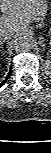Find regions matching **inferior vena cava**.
I'll return each mask as SVG.
<instances>
[{"label":"inferior vena cava","instance_id":"602c4592","mask_svg":"<svg viewBox=\"0 0 51 153\" xmlns=\"http://www.w3.org/2000/svg\"><path fill=\"white\" fill-rule=\"evenodd\" d=\"M13 32H6L4 30H1L0 32V42L4 43L8 40H10L13 37Z\"/></svg>","mask_w":51,"mask_h":153}]
</instances>
